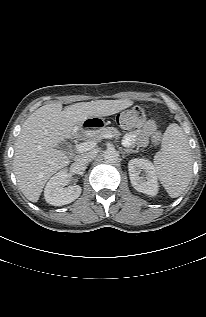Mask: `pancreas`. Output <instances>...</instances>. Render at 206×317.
<instances>
[{"label":"pancreas","mask_w":206,"mask_h":317,"mask_svg":"<svg viewBox=\"0 0 206 317\" xmlns=\"http://www.w3.org/2000/svg\"><path fill=\"white\" fill-rule=\"evenodd\" d=\"M107 134H109V135H111V136H113V137H115V138H119V136L121 135V133L118 131L117 128H114V127H105V128H102V129H100V130L94 132L92 138H93L94 141L98 142V141H100L104 136H106ZM89 135H90V134H88V136H89ZM88 136H87V137H88ZM91 136H92V135H91ZM89 138H91V137H89ZM92 138H91V139H92Z\"/></svg>","instance_id":"cf45deb5"}]
</instances>
